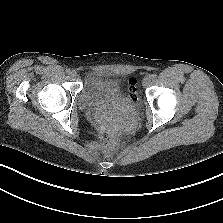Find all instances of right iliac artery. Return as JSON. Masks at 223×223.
I'll use <instances>...</instances> for the list:
<instances>
[{
	"label": "right iliac artery",
	"mask_w": 223,
	"mask_h": 223,
	"mask_svg": "<svg viewBox=\"0 0 223 223\" xmlns=\"http://www.w3.org/2000/svg\"><path fill=\"white\" fill-rule=\"evenodd\" d=\"M66 73L67 74H70L71 73V70L70 69H66Z\"/></svg>",
	"instance_id": "82829eb1"
}]
</instances>
